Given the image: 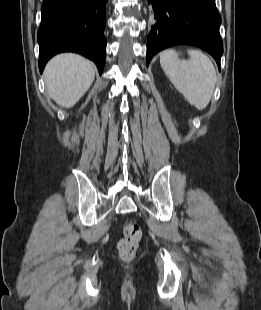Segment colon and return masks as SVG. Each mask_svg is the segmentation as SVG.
Here are the masks:
<instances>
[{
	"label": "colon",
	"instance_id": "colon-1",
	"mask_svg": "<svg viewBox=\"0 0 261 310\" xmlns=\"http://www.w3.org/2000/svg\"><path fill=\"white\" fill-rule=\"evenodd\" d=\"M141 237L142 230L137 223L127 222L123 226V237L118 243V253L122 260L130 261L134 258Z\"/></svg>",
	"mask_w": 261,
	"mask_h": 310
}]
</instances>
